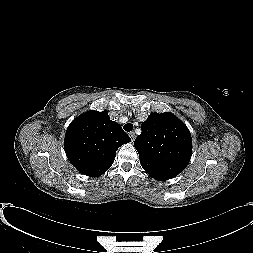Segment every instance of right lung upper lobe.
Here are the masks:
<instances>
[{"label":"right lung upper lobe","mask_w":253,"mask_h":253,"mask_svg":"<svg viewBox=\"0 0 253 253\" xmlns=\"http://www.w3.org/2000/svg\"><path fill=\"white\" fill-rule=\"evenodd\" d=\"M122 127L107 111H88L74 119L65 135V152L82 174L98 177L114 162L116 150L130 142Z\"/></svg>","instance_id":"cb5924a9"}]
</instances>
